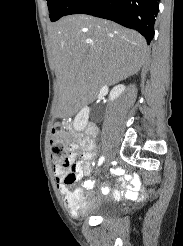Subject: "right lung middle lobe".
<instances>
[{"mask_svg":"<svg viewBox=\"0 0 183 246\" xmlns=\"http://www.w3.org/2000/svg\"><path fill=\"white\" fill-rule=\"evenodd\" d=\"M76 0H47L50 19L52 22L57 21L62 16H65L68 9Z\"/></svg>","mask_w":183,"mask_h":246,"instance_id":"obj_1","label":"right lung middle lobe"}]
</instances>
